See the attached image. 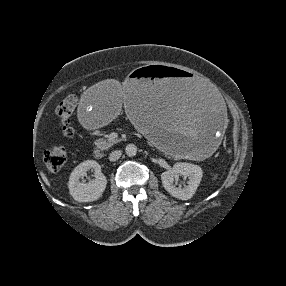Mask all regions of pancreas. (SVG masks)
Segmentation results:
<instances>
[{"mask_svg":"<svg viewBox=\"0 0 286 286\" xmlns=\"http://www.w3.org/2000/svg\"><path fill=\"white\" fill-rule=\"evenodd\" d=\"M117 142H119V139L108 138L107 140L98 139L94 143L97 146V148H99L101 150H105Z\"/></svg>","mask_w":286,"mask_h":286,"instance_id":"pancreas-1","label":"pancreas"}]
</instances>
